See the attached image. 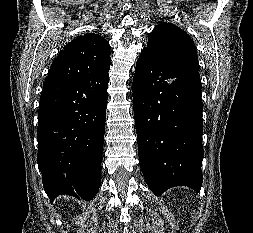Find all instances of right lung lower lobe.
<instances>
[{"mask_svg":"<svg viewBox=\"0 0 253 233\" xmlns=\"http://www.w3.org/2000/svg\"><path fill=\"white\" fill-rule=\"evenodd\" d=\"M108 71L44 84L38 166L51 201L62 194L91 200L100 187Z\"/></svg>","mask_w":253,"mask_h":233,"instance_id":"obj_1","label":"right lung lower lobe"}]
</instances>
